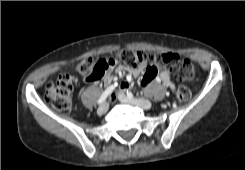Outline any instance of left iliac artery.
<instances>
[{"mask_svg": "<svg viewBox=\"0 0 245 170\" xmlns=\"http://www.w3.org/2000/svg\"><path fill=\"white\" fill-rule=\"evenodd\" d=\"M127 96H128L129 98H132V97H133V94H132V92H130V91H127ZM144 101H146V100H144Z\"/></svg>", "mask_w": 245, "mask_h": 170, "instance_id": "obj_1", "label": "left iliac artery"}]
</instances>
